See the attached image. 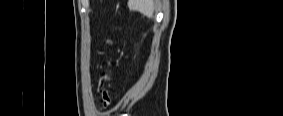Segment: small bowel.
I'll return each instance as SVG.
<instances>
[{"instance_id": "c3829d8e", "label": "small bowel", "mask_w": 283, "mask_h": 116, "mask_svg": "<svg viewBox=\"0 0 283 116\" xmlns=\"http://www.w3.org/2000/svg\"><path fill=\"white\" fill-rule=\"evenodd\" d=\"M103 99H104V101L108 100V95L106 93L103 94Z\"/></svg>"}]
</instances>
